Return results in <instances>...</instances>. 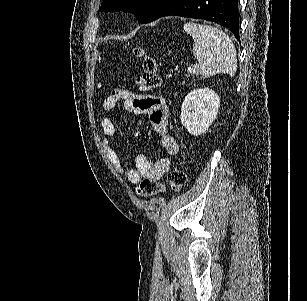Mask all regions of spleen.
Returning <instances> with one entry per match:
<instances>
[{"mask_svg":"<svg viewBox=\"0 0 307 301\" xmlns=\"http://www.w3.org/2000/svg\"><path fill=\"white\" fill-rule=\"evenodd\" d=\"M185 32L193 36V54L199 62L201 78H208L213 74H229L234 76L237 70V52L226 32L209 24L186 22Z\"/></svg>","mask_w":307,"mask_h":301,"instance_id":"spleen-1","label":"spleen"}]
</instances>
